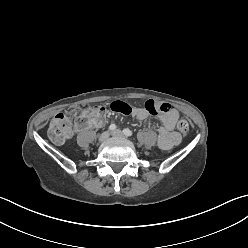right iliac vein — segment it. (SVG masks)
Instances as JSON below:
<instances>
[{
  "mask_svg": "<svg viewBox=\"0 0 248 248\" xmlns=\"http://www.w3.org/2000/svg\"><path fill=\"white\" fill-rule=\"evenodd\" d=\"M109 132H103L99 137V142H105L109 138Z\"/></svg>",
  "mask_w": 248,
  "mask_h": 248,
  "instance_id": "obj_1",
  "label": "right iliac vein"
}]
</instances>
